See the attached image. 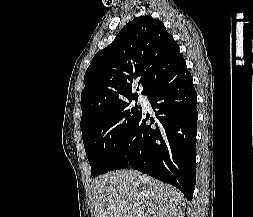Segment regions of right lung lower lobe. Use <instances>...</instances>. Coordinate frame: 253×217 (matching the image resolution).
I'll return each instance as SVG.
<instances>
[{"instance_id":"98d812e1","label":"right lung lower lobe","mask_w":253,"mask_h":217,"mask_svg":"<svg viewBox=\"0 0 253 217\" xmlns=\"http://www.w3.org/2000/svg\"><path fill=\"white\" fill-rule=\"evenodd\" d=\"M157 121L141 113L131 128L112 170L128 164L172 184L192 200L196 183L197 94L181 61L146 92Z\"/></svg>"}]
</instances>
